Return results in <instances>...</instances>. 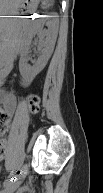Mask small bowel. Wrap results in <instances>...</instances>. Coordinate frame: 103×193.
Wrapping results in <instances>:
<instances>
[{
  "label": "small bowel",
  "mask_w": 103,
  "mask_h": 193,
  "mask_svg": "<svg viewBox=\"0 0 103 193\" xmlns=\"http://www.w3.org/2000/svg\"><path fill=\"white\" fill-rule=\"evenodd\" d=\"M3 100V109H2V115L10 117L17 106V100L16 97L13 94L3 92L2 95ZM8 182H6L5 186H7Z\"/></svg>",
  "instance_id": "small-bowel-1"
}]
</instances>
